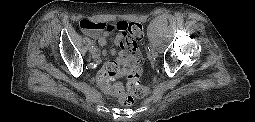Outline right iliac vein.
Wrapping results in <instances>:
<instances>
[{
	"label": "right iliac vein",
	"mask_w": 255,
	"mask_h": 122,
	"mask_svg": "<svg viewBox=\"0 0 255 122\" xmlns=\"http://www.w3.org/2000/svg\"><path fill=\"white\" fill-rule=\"evenodd\" d=\"M91 55H92V58H93V59L99 58V52H98V50H97L96 48L93 49V50L91 51Z\"/></svg>",
	"instance_id": "right-iliac-vein-1"
}]
</instances>
